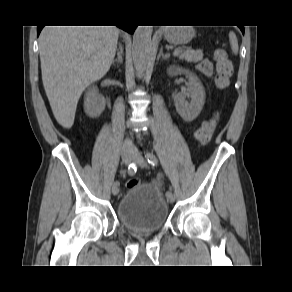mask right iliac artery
I'll return each instance as SVG.
<instances>
[{
	"label": "right iliac artery",
	"instance_id": "82829eb1",
	"mask_svg": "<svg viewBox=\"0 0 292 292\" xmlns=\"http://www.w3.org/2000/svg\"><path fill=\"white\" fill-rule=\"evenodd\" d=\"M136 173V166L134 163H131L129 166H128V174L130 176L134 175ZM114 185L118 186L119 185V179H115V182H114Z\"/></svg>",
	"mask_w": 292,
	"mask_h": 292
}]
</instances>
